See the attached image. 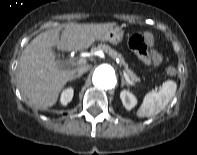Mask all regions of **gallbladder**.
Segmentation results:
<instances>
[{"mask_svg": "<svg viewBox=\"0 0 197 155\" xmlns=\"http://www.w3.org/2000/svg\"><path fill=\"white\" fill-rule=\"evenodd\" d=\"M58 64L61 66V63L60 62H58Z\"/></svg>", "mask_w": 197, "mask_h": 155, "instance_id": "gallbladder-1", "label": "gallbladder"}]
</instances>
